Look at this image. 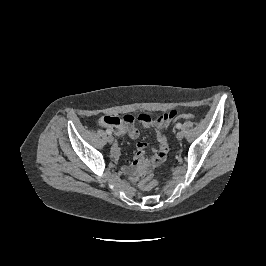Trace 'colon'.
Instances as JSON below:
<instances>
[{
  "mask_svg": "<svg viewBox=\"0 0 266 266\" xmlns=\"http://www.w3.org/2000/svg\"><path fill=\"white\" fill-rule=\"evenodd\" d=\"M178 118L183 120H190L194 118V115L191 113H182L178 115ZM157 184L158 182L153 175H147L140 181V187L145 191L154 189Z\"/></svg>",
  "mask_w": 266,
  "mask_h": 266,
  "instance_id": "1",
  "label": "colon"
}]
</instances>
